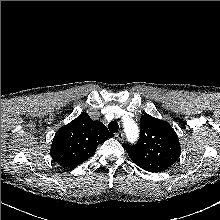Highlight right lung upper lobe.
Here are the masks:
<instances>
[{"instance_id": "cb5924a9", "label": "right lung upper lobe", "mask_w": 220, "mask_h": 220, "mask_svg": "<svg viewBox=\"0 0 220 220\" xmlns=\"http://www.w3.org/2000/svg\"><path fill=\"white\" fill-rule=\"evenodd\" d=\"M113 137L103 123L83 113L60 128L50 150L52 159L63 167L75 168L96 151L99 144Z\"/></svg>"}]
</instances>
